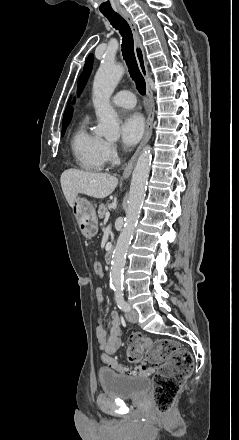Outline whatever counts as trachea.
Instances as JSON below:
<instances>
[{"mask_svg":"<svg viewBox=\"0 0 239 440\" xmlns=\"http://www.w3.org/2000/svg\"><path fill=\"white\" fill-rule=\"evenodd\" d=\"M106 17L113 28L119 31L122 36V54L123 58L128 67L130 76L132 80H134L137 90L141 95H145L146 93V83L141 74L134 53V39L132 35V30L128 25L127 21L122 18L119 13H107L103 14Z\"/></svg>","mask_w":239,"mask_h":440,"instance_id":"1","label":"trachea"}]
</instances>
